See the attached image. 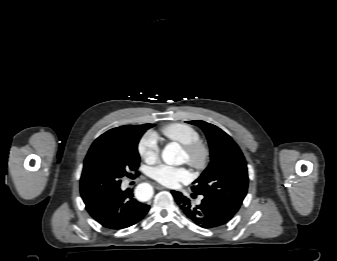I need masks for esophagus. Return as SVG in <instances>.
<instances>
[{
  "instance_id": "1",
  "label": "esophagus",
  "mask_w": 337,
  "mask_h": 261,
  "mask_svg": "<svg viewBox=\"0 0 337 261\" xmlns=\"http://www.w3.org/2000/svg\"><path fill=\"white\" fill-rule=\"evenodd\" d=\"M155 188L158 189V190H163V189H165V187H163V186L160 185V184H155Z\"/></svg>"
}]
</instances>
